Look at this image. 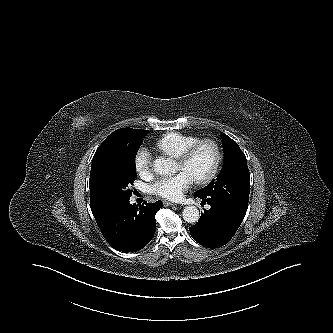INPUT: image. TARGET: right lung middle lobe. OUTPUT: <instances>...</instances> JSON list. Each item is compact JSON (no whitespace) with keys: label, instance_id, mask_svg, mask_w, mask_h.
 Masks as SVG:
<instances>
[{"label":"right lung middle lobe","instance_id":"1","mask_svg":"<svg viewBox=\"0 0 333 333\" xmlns=\"http://www.w3.org/2000/svg\"><path fill=\"white\" fill-rule=\"evenodd\" d=\"M150 131L134 136L108 151L99 162L96 181L104 200L112 204L128 199L132 191L128 185L137 178L135 158L142 139Z\"/></svg>","mask_w":333,"mask_h":333}]
</instances>
